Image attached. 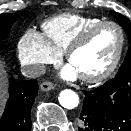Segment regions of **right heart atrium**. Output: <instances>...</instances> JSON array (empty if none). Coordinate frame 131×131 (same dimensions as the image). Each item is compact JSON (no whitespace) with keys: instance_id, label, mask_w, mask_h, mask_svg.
Masks as SVG:
<instances>
[{"instance_id":"1","label":"right heart atrium","mask_w":131,"mask_h":131,"mask_svg":"<svg viewBox=\"0 0 131 131\" xmlns=\"http://www.w3.org/2000/svg\"><path fill=\"white\" fill-rule=\"evenodd\" d=\"M18 57L23 65L41 70L45 65L56 63L61 53L41 33L28 30L18 42Z\"/></svg>"}]
</instances>
